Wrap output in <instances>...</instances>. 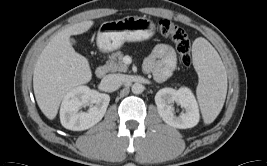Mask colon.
Listing matches in <instances>:
<instances>
[{
	"label": "colon",
	"instance_id": "1",
	"mask_svg": "<svg viewBox=\"0 0 267 166\" xmlns=\"http://www.w3.org/2000/svg\"><path fill=\"white\" fill-rule=\"evenodd\" d=\"M158 32L163 36L170 37L175 42L182 64L189 66L191 63V43L185 30L171 20L160 19Z\"/></svg>",
	"mask_w": 267,
	"mask_h": 166
}]
</instances>
